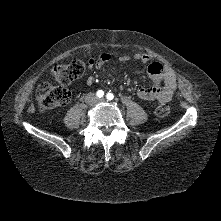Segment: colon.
<instances>
[{"label":"colon","instance_id":"5ec220e1","mask_svg":"<svg viewBox=\"0 0 221 221\" xmlns=\"http://www.w3.org/2000/svg\"><path fill=\"white\" fill-rule=\"evenodd\" d=\"M85 64L81 60H73L65 65L53 69V76L58 85L44 83L36 91V101L41 111H48L67 104L70 100V92L66 85L82 77L85 73ZM170 107L159 104L155 109L158 117H165L169 114Z\"/></svg>","mask_w":221,"mask_h":221}]
</instances>
